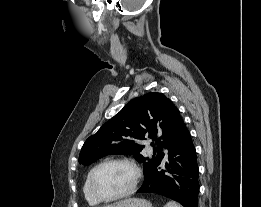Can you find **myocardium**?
Segmentation results:
<instances>
[{
  "mask_svg": "<svg viewBox=\"0 0 261 207\" xmlns=\"http://www.w3.org/2000/svg\"><path fill=\"white\" fill-rule=\"evenodd\" d=\"M110 164H123V165L130 167L133 170L134 178H133V182H132L131 186L124 192L117 194L115 196H112V197H103L98 193V191L96 189L95 179H96V175H97L98 171L101 168H103L107 165H110ZM140 179H141V171L135 162H133L129 159H125V158H112V159H108V160H105V161L99 163L98 165H96L93 168V170L91 171V174H90V178H89V188H90L91 194L98 202L109 203V202L117 201L119 199L125 198V197L133 194L135 192V190L137 189Z\"/></svg>",
  "mask_w": 261,
  "mask_h": 207,
  "instance_id": "obj_1",
  "label": "myocardium"
}]
</instances>
